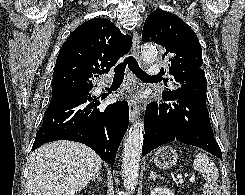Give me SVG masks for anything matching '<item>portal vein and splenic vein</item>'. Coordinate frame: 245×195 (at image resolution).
<instances>
[{
  "mask_svg": "<svg viewBox=\"0 0 245 195\" xmlns=\"http://www.w3.org/2000/svg\"><path fill=\"white\" fill-rule=\"evenodd\" d=\"M190 181H191V182H194V181H195V177L192 176V177L190 178Z\"/></svg>",
  "mask_w": 245,
  "mask_h": 195,
  "instance_id": "18ae733b",
  "label": "portal vein and splenic vein"
}]
</instances>
